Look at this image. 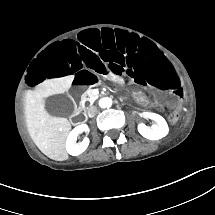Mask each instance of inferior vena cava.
Listing matches in <instances>:
<instances>
[{
    "label": "inferior vena cava",
    "mask_w": 215,
    "mask_h": 215,
    "mask_svg": "<svg viewBox=\"0 0 215 215\" xmlns=\"http://www.w3.org/2000/svg\"><path fill=\"white\" fill-rule=\"evenodd\" d=\"M97 107L96 106H89L87 108V114L89 117H94L97 114Z\"/></svg>",
    "instance_id": "inferior-vena-cava-1"
}]
</instances>
